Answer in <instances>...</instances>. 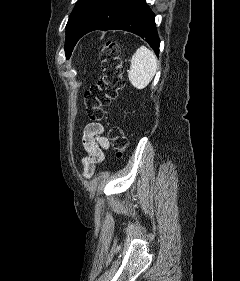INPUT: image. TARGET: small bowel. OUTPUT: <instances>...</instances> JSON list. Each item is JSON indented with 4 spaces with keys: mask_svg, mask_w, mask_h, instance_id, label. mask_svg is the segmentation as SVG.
Masks as SVG:
<instances>
[{
    "mask_svg": "<svg viewBox=\"0 0 240 281\" xmlns=\"http://www.w3.org/2000/svg\"><path fill=\"white\" fill-rule=\"evenodd\" d=\"M86 156L82 159L83 176L87 179L94 174L96 165L104 160V150L109 149L110 141L104 135V127L97 122L88 123L82 136Z\"/></svg>",
    "mask_w": 240,
    "mask_h": 281,
    "instance_id": "1",
    "label": "small bowel"
}]
</instances>
